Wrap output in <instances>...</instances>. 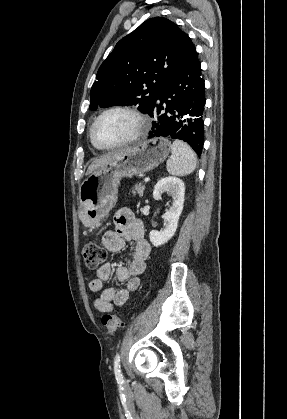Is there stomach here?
Wrapping results in <instances>:
<instances>
[{"instance_id":"0dacf381","label":"stomach","mask_w":287,"mask_h":419,"mask_svg":"<svg viewBox=\"0 0 287 419\" xmlns=\"http://www.w3.org/2000/svg\"><path fill=\"white\" fill-rule=\"evenodd\" d=\"M170 150L168 139L152 138L94 170L79 188L80 216L92 225L98 224L115 206L120 180L156 168Z\"/></svg>"}]
</instances>
